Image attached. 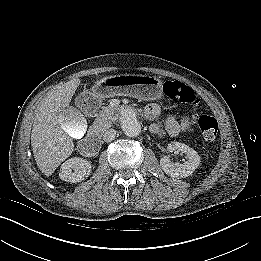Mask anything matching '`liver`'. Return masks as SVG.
I'll use <instances>...</instances> for the list:
<instances>
[{"label": "liver", "mask_w": 261, "mask_h": 261, "mask_svg": "<svg viewBox=\"0 0 261 261\" xmlns=\"http://www.w3.org/2000/svg\"><path fill=\"white\" fill-rule=\"evenodd\" d=\"M80 79H72L47 93L37 107L31 133V146L40 171L50 176L73 152L74 143L64 122L68 123L65 109L80 85ZM73 120L70 123L81 126V113L71 108ZM81 128V127H79Z\"/></svg>", "instance_id": "1"}]
</instances>
